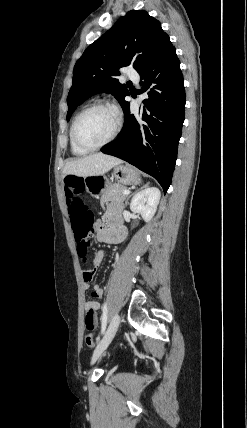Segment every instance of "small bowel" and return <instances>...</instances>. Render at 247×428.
Here are the masks:
<instances>
[{"label":"small bowel","mask_w":247,"mask_h":428,"mask_svg":"<svg viewBox=\"0 0 247 428\" xmlns=\"http://www.w3.org/2000/svg\"><path fill=\"white\" fill-rule=\"evenodd\" d=\"M126 237V228L123 226L121 218L115 208H110L105 217L103 223L98 229V238L101 241L108 243H119ZM104 259V251L100 250L95 255L93 260V267L90 270H86L83 273V287L84 289L90 288V282L93 279L94 271L97 270ZM91 295L93 298L99 299L103 296V290L98 285L92 287ZM100 309V303H99ZM85 319L88 317L89 308L84 306ZM86 326V325H85Z\"/></svg>","instance_id":"small-bowel-1"}]
</instances>
